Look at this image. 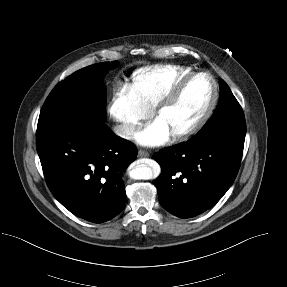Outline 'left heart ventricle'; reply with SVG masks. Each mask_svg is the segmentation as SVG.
<instances>
[{
  "instance_id": "left-heart-ventricle-1",
  "label": "left heart ventricle",
  "mask_w": 287,
  "mask_h": 287,
  "mask_svg": "<svg viewBox=\"0 0 287 287\" xmlns=\"http://www.w3.org/2000/svg\"><path fill=\"white\" fill-rule=\"evenodd\" d=\"M211 83L206 77H197L187 84L175 103L157 118L170 133L183 129L196 120L211 97Z\"/></svg>"
}]
</instances>
